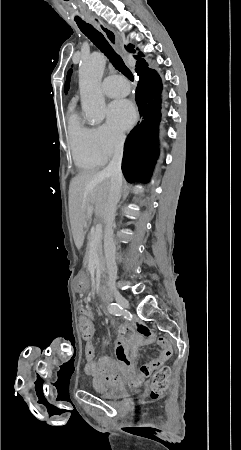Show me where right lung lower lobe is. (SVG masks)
<instances>
[{
    "label": "right lung lower lobe",
    "mask_w": 241,
    "mask_h": 450,
    "mask_svg": "<svg viewBox=\"0 0 241 450\" xmlns=\"http://www.w3.org/2000/svg\"><path fill=\"white\" fill-rule=\"evenodd\" d=\"M147 66L145 61L135 69L139 77L136 102L143 120L130 132L124 145L122 171L128 182L141 177L147 181L158 157L162 83L157 72Z\"/></svg>",
    "instance_id": "1"
}]
</instances>
